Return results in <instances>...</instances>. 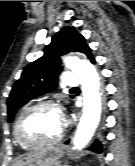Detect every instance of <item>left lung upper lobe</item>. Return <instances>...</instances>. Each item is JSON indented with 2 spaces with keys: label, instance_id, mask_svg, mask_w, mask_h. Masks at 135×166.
<instances>
[{
  "label": "left lung upper lobe",
  "instance_id": "obj_1",
  "mask_svg": "<svg viewBox=\"0 0 135 166\" xmlns=\"http://www.w3.org/2000/svg\"><path fill=\"white\" fill-rule=\"evenodd\" d=\"M69 52H81L93 59L85 38L74 28L64 27L52 37L44 55L27 65L13 85L7 100L9 123L23 104L55 89L62 71L60 56Z\"/></svg>",
  "mask_w": 135,
  "mask_h": 166
}]
</instances>
